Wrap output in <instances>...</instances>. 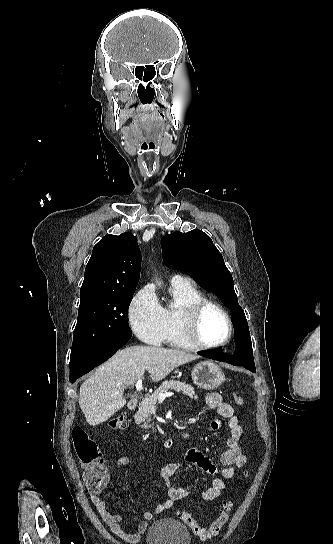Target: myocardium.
I'll return each mask as SVG.
<instances>
[{"label":"myocardium","mask_w":333,"mask_h":544,"mask_svg":"<svg viewBox=\"0 0 333 544\" xmlns=\"http://www.w3.org/2000/svg\"><path fill=\"white\" fill-rule=\"evenodd\" d=\"M208 307H215L219 309L227 322L228 335L223 341L218 343L207 344L204 343L199 337V322L203 312ZM181 324L186 339L195 348L199 349H215L225 346L230 342L234 333L233 321L228 310L222 303L214 299L203 298L186 307L181 314Z\"/></svg>","instance_id":"myocardium-1"}]
</instances>
